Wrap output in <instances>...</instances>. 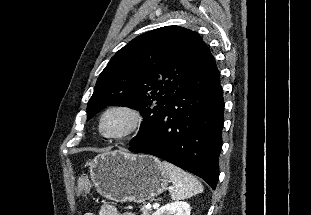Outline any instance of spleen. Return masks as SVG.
I'll return each mask as SVG.
<instances>
[{"label": "spleen", "instance_id": "spleen-1", "mask_svg": "<svg viewBox=\"0 0 311 215\" xmlns=\"http://www.w3.org/2000/svg\"><path fill=\"white\" fill-rule=\"evenodd\" d=\"M161 164L174 187L171 192L172 200H184L203 191L202 184L192 174L166 161Z\"/></svg>", "mask_w": 311, "mask_h": 215}]
</instances>
